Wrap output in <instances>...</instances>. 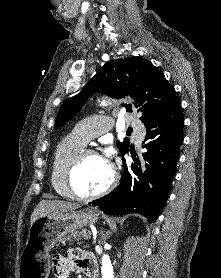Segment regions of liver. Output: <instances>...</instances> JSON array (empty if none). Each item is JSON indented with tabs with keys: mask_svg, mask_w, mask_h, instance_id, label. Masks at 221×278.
Wrapping results in <instances>:
<instances>
[{
	"mask_svg": "<svg viewBox=\"0 0 221 278\" xmlns=\"http://www.w3.org/2000/svg\"><path fill=\"white\" fill-rule=\"evenodd\" d=\"M80 205L76 203H70L66 201L60 200H42L34 209L31 218L30 224L32 225L36 219L48 215V214H58V213H66L68 211H72L78 209Z\"/></svg>",
	"mask_w": 221,
	"mask_h": 278,
	"instance_id": "6515ba94",
	"label": "liver"
}]
</instances>
